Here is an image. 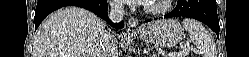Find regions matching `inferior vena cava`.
Masks as SVG:
<instances>
[{"label":"inferior vena cava","instance_id":"1","mask_svg":"<svg viewBox=\"0 0 249 57\" xmlns=\"http://www.w3.org/2000/svg\"><path fill=\"white\" fill-rule=\"evenodd\" d=\"M109 17L113 22H120L124 17L123 5L120 1H110ZM103 57H117L116 39L110 33L105 32L101 38Z\"/></svg>","mask_w":249,"mask_h":57}]
</instances>
